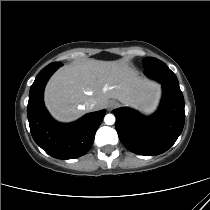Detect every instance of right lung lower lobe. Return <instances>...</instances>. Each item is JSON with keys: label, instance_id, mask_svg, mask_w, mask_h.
<instances>
[{"label": "right lung lower lobe", "instance_id": "right-lung-lower-lobe-1", "mask_svg": "<svg viewBox=\"0 0 210 210\" xmlns=\"http://www.w3.org/2000/svg\"><path fill=\"white\" fill-rule=\"evenodd\" d=\"M60 66L62 63H51L36 76L30 88L27 115L34 141L47 154L57 159H73L91 148L105 110L86 114L70 124L56 122L44 107L43 91L49 77Z\"/></svg>", "mask_w": 210, "mask_h": 210}]
</instances>
